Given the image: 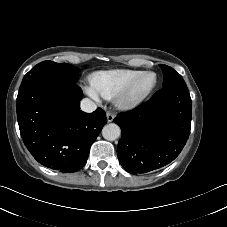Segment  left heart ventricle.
<instances>
[{
  "instance_id": "left-heart-ventricle-1",
  "label": "left heart ventricle",
  "mask_w": 227,
  "mask_h": 227,
  "mask_svg": "<svg viewBox=\"0 0 227 227\" xmlns=\"http://www.w3.org/2000/svg\"><path fill=\"white\" fill-rule=\"evenodd\" d=\"M152 82H153L152 75H147L143 77L135 88V94L137 95L145 91L152 84Z\"/></svg>"
}]
</instances>
